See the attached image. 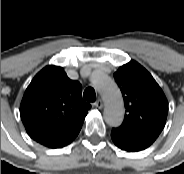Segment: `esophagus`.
<instances>
[{"label": "esophagus", "mask_w": 184, "mask_h": 174, "mask_svg": "<svg viewBox=\"0 0 184 174\" xmlns=\"http://www.w3.org/2000/svg\"><path fill=\"white\" fill-rule=\"evenodd\" d=\"M94 106H95L96 108L101 109V108L104 106V103H103L102 99H98V100L94 103Z\"/></svg>", "instance_id": "1"}]
</instances>
